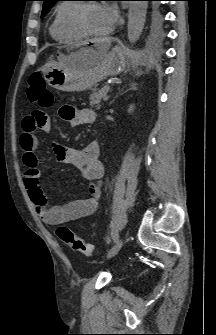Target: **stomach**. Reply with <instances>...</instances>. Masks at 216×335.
<instances>
[{"mask_svg": "<svg viewBox=\"0 0 216 335\" xmlns=\"http://www.w3.org/2000/svg\"><path fill=\"white\" fill-rule=\"evenodd\" d=\"M94 51L91 48H82L70 55H60L57 61L48 63L42 68L45 81L48 85L60 91H84L97 86L107 77L116 76L125 70L128 55L120 46H115L107 51L98 63L92 67L77 69L70 66L74 54L79 52L92 54ZM134 61L141 62V56L135 57Z\"/></svg>", "mask_w": 216, "mask_h": 335, "instance_id": "0dacf381", "label": "stomach"}]
</instances>
